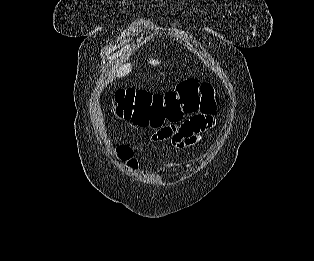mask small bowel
Masks as SVG:
<instances>
[{"label":"small bowel","mask_w":314,"mask_h":261,"mask_svg":"<svg viewBox=\"0 0 314 261\" xmlns=\"http://www.w3.org/2000/svg\"><path fill=\"white\" fill-rule=\"evenodd\" d=\"M213 110L190 116L188 120H167L158 133H148V140H167L174 151H185L188 144L197 141L198 134L214 127Z\"/></svg>","instance_id":"obj_1"}]
</instances>
